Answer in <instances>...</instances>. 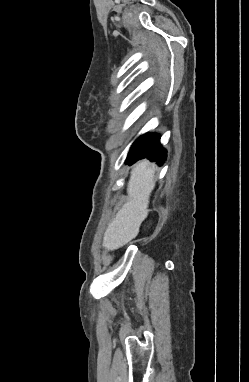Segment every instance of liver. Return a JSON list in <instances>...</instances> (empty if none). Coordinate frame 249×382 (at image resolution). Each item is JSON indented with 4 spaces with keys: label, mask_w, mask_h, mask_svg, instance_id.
Returning a JSON list of instances; mask_svg holds the SVG:
<instances>
[{
    "label": "liver",
    "mask_w": 249,
    "mask_h": 382,
    "mask_svg": "<svg viewBox=\"0 0 249 382\" xmlns=\"http://www.w3.org/2000/svg\"><path fill=\"white\" fill-rule=\"evenodd\" d=\"M154 187L155 166L146 160L141 161L130 175L127 186L128 201L118 211L104 233L105 249H118L138 235L141 223L148 216L149 197Z\"/></svg>",
    "instance_id": "1"
}]
</instances>
